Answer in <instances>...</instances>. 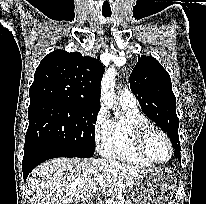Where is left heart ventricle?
I'll return each mask as SVG.
<instances>
[{"label": "left heart ventricle", "mask_w": 206, "mask_h": 204, "mask_svg": "<svg viewBox=\"0 0 206 204\" xmlns=\"http://www.w3.org/2000/svg\"><path fill=\"white\" fill-rule=\"evenodd\" d=\"M146 147L151 157L157 161H165L169 156V148L166 141L157 133L150 134Z\"/></svg>", "instance_id": "1"}]
</instances>
